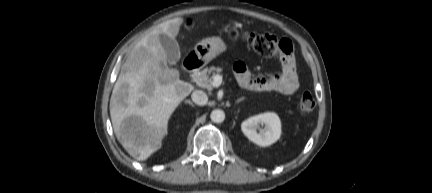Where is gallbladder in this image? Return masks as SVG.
Listing matches in <instances>:
<instances>
[{
    "instance_id": "gallbladder-1",
    "label": "gallbladder",
    "mask_w": 432,
    "mask_h": 193,
    "mask_svg": "<svg viewBox=\"0 0 432 193\" xmlns=\"http://www.w3.org/2000/svg\"><path fill=\"white\" fill-rule=\"evenodd\" d=\"M159 41L167 54V62L170 65L176 64L180 59V49L176 39L161 33L159 34Z\"/></svg>"
}]
</instances>
